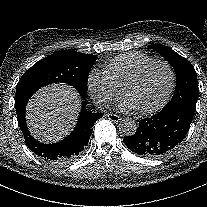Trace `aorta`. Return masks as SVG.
Returning a JSON list of instances; mask_svg holds the SVG:
<instances>
[{
	"label": "aorta",
	"mask_w": 207,
	"mask_h": 207,
	"mask_svg": "<svg viewBox=\"0 0 207 207\" xmlns=\"http://www.w3.org/2000/svg\"><path fill=\"white\" fill-rule=\"evenodd\" d=\"M119 129L125 136H132L137 131V124L131 118L123 119L119 124Z\"/></svg>",
	"instance_id": "aorta-1"
}]
</instances>
